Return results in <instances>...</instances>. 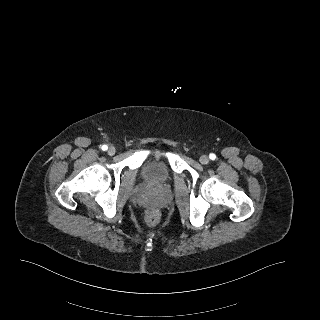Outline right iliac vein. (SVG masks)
<instances>
[{
	"instance_id": "right-iliac-vein-1",
	"label": "right iliac vein",
	"mask_w": 320,
	"mask_h": 320,
	"mask_svg": "<svg viewBox=\"0 0 320 320\" xmlns=\"http://www.w3.org/2000/svg\"><path fill=\"white\" fill-rule=\"evenodd\" d=\"M115 152H116V150H115V148L114 147H109V149H108V151H107V153L109 154V155H114L115 154Z\"/></svg>"
}]
</instances>
